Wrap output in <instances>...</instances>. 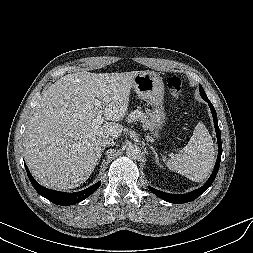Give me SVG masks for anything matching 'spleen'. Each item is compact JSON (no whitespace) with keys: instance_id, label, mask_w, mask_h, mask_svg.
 Listing matches in <instances>:
<instances>
[{"instance_id":"1","label":"spleen","mask_w":253,"mask_h":253,"mask_svg":"<svg viewBox=\"0 0 253 253\" xmlns=\"http://www.w3.org/2000/svg\"><path fill=\"white\" fill-rule=\"evenodd\" d=\"M215 148L212 138L202 122H199L188 144L166 166L188 179L201 182L206 179L214 166Z\"/></svg>"}]
</instances>
